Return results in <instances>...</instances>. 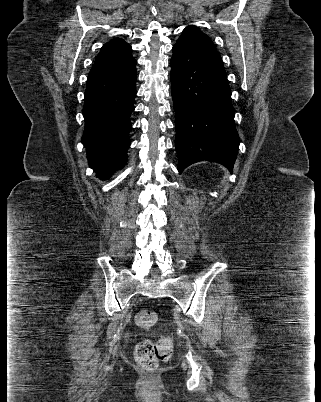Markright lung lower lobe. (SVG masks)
I'll list each match as a JSON object with an SVG mask.
<instances>
[{
	"label": "right lung lower lobe",
	"mask_w": 321,
	"mask_h": 402,
	"mask_svg": "<svg viewBox=\"0 0 321 402\" xmlns=\"http://www.w3.org/2000/svg\"><path fill=\"white\" fill-rule=\"evenodd\" d=\"M135 65L93 68L87 80L82 143L89 166L101 179L122 169L130 146V114L134 110Z\"/></svg>",
	"instance_id": "1"
}]
</instances>
